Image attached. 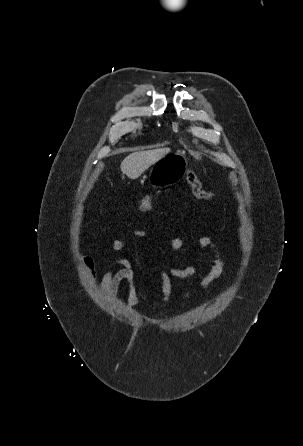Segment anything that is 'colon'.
Listing matches in <instances>:
<instances>
[{"label":"colon","instance_id":"colon-1","mask_svg":"<svg viewBox=\"0 0 303 446\" xmlns=\"http://www.w3.org/2000/svg\"><path fill=\"white\" fill-rule=\"evenodd\" d=\"M185 180L196 198L204 200L212 198V193L203 188L199 177L193 171H187L185 173ZM153 199V194L146 196L139 202L137 210L139 212L149 210L153 206Z\"/></svg>","mask_w":303,"mask_h":446}]
</instances>
